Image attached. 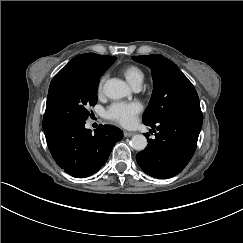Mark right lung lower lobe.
Segmentation results:
<instances>
[{"label": "right lung lower lobe", "instance_id": "98d812e1", "mask_svg": "<svg viewBox=\"0 0 243 243\" xmlns=\"http://www.w3.org/2000/svg\"><path fill=\"white\" fill-rule=\"evenodd\" d=\"M86 121V120H85ZM84 120H67L44 127L47 145L56 163L76 178L96 173L107 161L123 133L112 125H100L92 135Z\"/></svg>", "mask_w": 243, "mask_h": 243}]
</instances>
